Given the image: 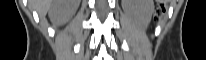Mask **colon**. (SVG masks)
I'll list each match as a JSON object with an SVG mask.
<instances>
[{
    "label": "colon",
    "instance_id": "5ec220e1",
    "mask_svg": "<svg viewBox=\"0 0 206 60\" xmlns=\"http://www.w3.org/2000/svg\"><path fill=\"white\" fill-rule=\"evenodd\" d=\"M164 10L165 6L163 4L158 5L155 11L156 17H160L163 14Z\"/></svg>",
    "mask_w": 206,
    "mask_h": 60
}]
</instances>
